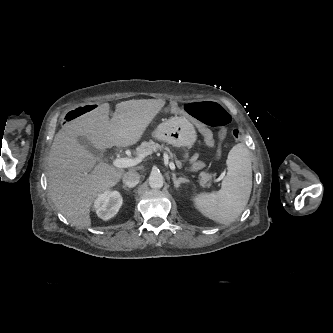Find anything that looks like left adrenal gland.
I'll return each instance as SVG.
<instances>
[{"label": "left adrenal gland", "instance_id": "left-adrenal-gland-1", "mask_svg": "<svg viewBox=\"0 0 333 333\" xmlns=\"http://www.w3.org/2000/svg\"><path fill=\"white\" fill-rule=\"evenodd\" d=\"M172 180H173L175 188L180 187V184H182V183H189L188 179H186L184 177L176 178L175 174H173Z\"/></svg>", "mask_w": 333, "mask_h": 333}]
</instances>
